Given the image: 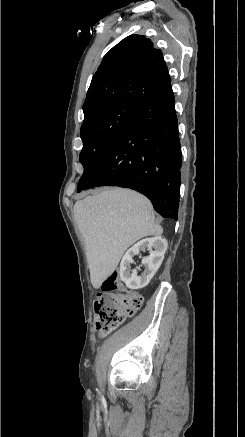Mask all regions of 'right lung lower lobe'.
<instances>
[{"instance_id": "obj_1", "label": "right lung lower lobe", "mask_w": 245, "mask_h": 437, "mask_svg": "<svg viewBox=\"0 0 245 437\" xmlns=\"http://www.w3.org/2000/svg\"><path fill=\"white\" fill-rule=\"evenodd\" d=\"M182 165L174 94L141 104L77 192L119 186L144 194L164 218L177 220Z\"/></svg>"}]
</instances>
